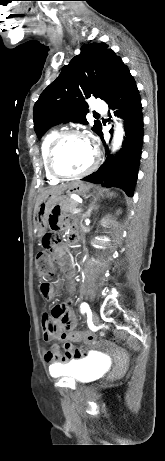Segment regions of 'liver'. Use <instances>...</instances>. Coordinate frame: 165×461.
<instances>
[{
	"mask_svg": "<svg viewBox=\"0 0 165 461\" xmlns=\"http://www.w3.org/2000/svg\"><path fill=\"white\" fill-rule=\"evenodd\" d=\"M65 189V187H56V188H51L49 190H45V191H42L41 194L38 196L37 198V202L35 204V209H34V212L36 213L37 210H38V206H39V203L40 201L47 195L49 194H53V193H60L62 192L63 190Z\"/></svg>",
	"mask_w": 165,
	"mask_h": 461,
	"instance_id": "liver-1",
	"label": "liver"
}]
</instances>
